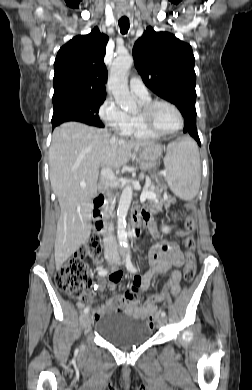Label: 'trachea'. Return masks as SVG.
Here are the masks:
<instances>
[{
  "instance_id": "1",
  "label": "trachea",
  "mask_w": 252,
  "mask_h": 390,
  "mask_svg": "<svg viewBox=\"0 0 252 390\" xmlns=\"http://www.w3.org/2000/svg\"><path fill=\"white\" fill-rule=\"evenodd\" d=\"M119 27H120V32L122 34H126L129 30V19L128 18H121L118 21Z\"/></svg>"
}]
</instances>
